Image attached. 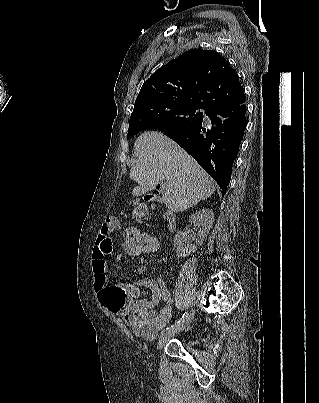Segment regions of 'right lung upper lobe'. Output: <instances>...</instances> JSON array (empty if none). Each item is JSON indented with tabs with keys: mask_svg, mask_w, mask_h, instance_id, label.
<instances>
[{
	"mask_svg": "<svg viewBox=\"0 0 319 403\" xmlns=\"http://www.w3.org/2000/svg\"><path fill=\"white\" fill-rule=\"evenodd\" d=\"M244 101L239 77L224 57L212 50L191 49L144 82L130 118L158 104H188L210 111Z\"/></svg>",
	"mask_w": 319,
	"mask_h": 403,
	"instance_id": "right-lung-upper-lobe-1",
	"label": "right lung upper lobe"
}]
</instances>
